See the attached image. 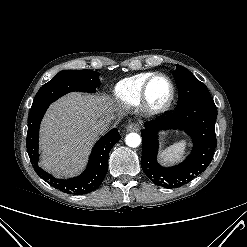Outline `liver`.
I'll return each mask as SVG.
<instances>
[{
  "mask_svg": "<svg viewBox=\"0 0 247 247\" xmlns=\"http://www.w3.org/2000/svg\"><path fill=\"white\" fill-rule=\"evenodd\" d=\"M115 111L107 95L69 93L48 109L40 129L42 167L55 176L80 171L98 138L93 124Z\"/></svg>",
  "mask_w": 247,
  "mask_h": 247,
  "instance_id": "1",
  "label": "liver"
}]
</instances>
